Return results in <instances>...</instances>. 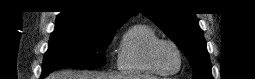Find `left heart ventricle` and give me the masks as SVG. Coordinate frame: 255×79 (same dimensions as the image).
Returning a JSON list of instances; mask_svg holds the SVG:
<instances>
[{"label": "left heart ventricle", "mask_w": 255, "mask_h": 79, "mask_svg": "<svg viewBox=\"0 0 255 79\" xmlns=\"http://www.w3.org/2000/svg\"><path fill=\"white\" fill-rule=\"evenodd\" d=\"M155 58L158 65L166 70H176L179 65V57L175 49L168 44L157 47Z\"/></svg>", "instance_id": "1"}]
</instances>
